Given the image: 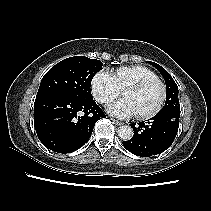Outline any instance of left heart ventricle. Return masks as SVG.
I'll return each instance as SVG.
<instances>
[{"label": "left heart ventricle", "mask_w": 211, "mask_h": 211, "mask_svg": "<svg viewBox=\"0 0 211 211\" xmlns=\"http://www.w3.org/2000/svg\"><path fill=\"white\" fill-rule=\"evenodd\" d=\"M161 95V88L157 84L143 90H126L123 93L124 98L132 102L136 114H145L152 111L159 103Z\"/></svg>", "instance_id": "1"}]
</instances>
